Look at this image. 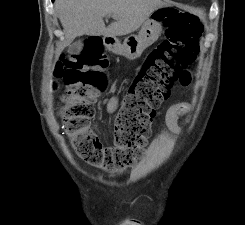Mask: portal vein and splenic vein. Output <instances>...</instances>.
Returning <instances> with one entry per match:
<instances>
[{
    "instance_id": "obj_1",
    "label": "portal vein and splenic vein",
    "mask_w": 245,
    "mask_h": 225,
    "mask_svg": "<svg viewBox=\"0 0 245 225\" xmlns=\"http://www.w3.org/2000/svg\"><path fill=\"white\" fill-rule=\"evenodd\" d=\"M112 17L115 19V16L114 15H112Z\"/></svg>"
}]
</instances>
